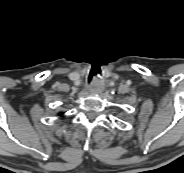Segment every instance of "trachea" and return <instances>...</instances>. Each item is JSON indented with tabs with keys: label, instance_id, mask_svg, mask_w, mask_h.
<instances>
[{
	"label": "trachea",
	"instance_id": "trachea-1",
	"mask_svg": "<svg viewBox=\"0 0 184 173\" xmlns=\"http://www.w3.org/2000/svg\"><path fill=\"white\" fill-rule=\"evenodd\" d=\"M92 80V74H90L89 76V82Z\"/></svg>",
	"mask_w": 184,
	"mask_h": 173
}]
</instances>
